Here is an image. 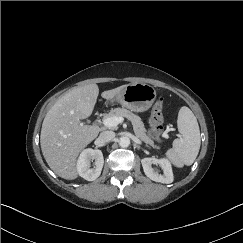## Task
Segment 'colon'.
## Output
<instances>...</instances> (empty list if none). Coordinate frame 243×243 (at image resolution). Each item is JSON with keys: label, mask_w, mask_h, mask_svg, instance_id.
<instances>
[{"label": "colon", "mask_w": 243, "mask_h": 243, "mask_svg": "<svg viewBox=\"0 0 243 243\" xmlns=\"http://www.w3.org/2000/svg\"><path fill=\"white\" fill-rule=\"evenodd\" d=\"M162 98L156 101L153 112L150 118L149 134L154 139H159L163 132V117H162Z\"/></svg>", "instance_id": "colon-1"}]
</instances>
